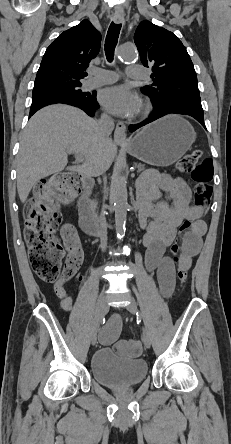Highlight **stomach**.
Listing matches in <instances>:
<instances>
[{
	"label": "stomach",
	"mask_w": 231,
	"mask_h": 444,
	"mask_svg": "<svg viewBox=\"0 0 231 444\" xmlns=\"http://www.w3.org/2000/svg\"><path fill=\"white\" fill-rule=\"evenodd\" d=\"M195 141L191 124L179 115H167L121 144L137 159L153 166H169L179 160Z\"/></svg>",
	"instance_id": "obj_1"
}]
</instances>
